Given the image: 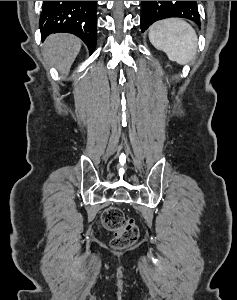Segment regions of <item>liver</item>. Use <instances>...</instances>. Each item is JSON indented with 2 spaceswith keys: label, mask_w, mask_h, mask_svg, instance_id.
Returning a JSON list of instances; mask_svg holds the SVG:
<instances>
[{
  "label": "liver",
  "mask_w": 237,
  "mask_h": 300,
  "mask_svg": "<svg viewBox=\"0 0 237 300\" xmlns=\"http://www.w3.org/2000/svg\"><path fill=\"white\" fill-rule=\"evenodd\" d=\"M81 49V41L68 33L50 35L43 45V59L50 67H57L62 77H67Z\"/></svg>",
  "instance_id": "6515ba94"
}]
</instances>
